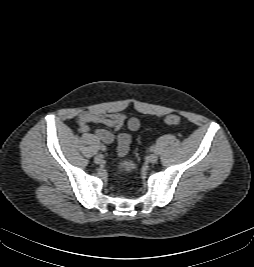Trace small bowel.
<instances>
[{
  "instance_id": "c3829d8e",
  "label": "small bowel",
  "mask_w": 254,
  "mask_h": 267,
  "mask_svg": "<svg viewBox=\"0 0 254 267\" xmlns=\"http://www.w3.org/2000/svg\"><path fill=\"white\" fill-rule=\"evenodd\" d=\"M90 123L102 124L114 130H120L124 124H127L128 129L131 132H135L140 128V121L135 118L127 119L126 115L122 113H97L92 111H83L77 116V124L79 130L82 133H87L90 130ZM96 136L105 144H112L114 142V135L107 129H97L95 131ZM131 135L129 133H120L117 137V154L119 156H125L131 144Z\"/></svg>"
}]
</instances>
